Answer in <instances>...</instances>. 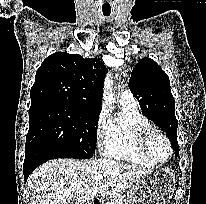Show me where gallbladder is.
<instances>
[{
	"label": "gallbladder",
	"instance_id": "obj_1",
	"mask_svg": "<svg viewBox=\"0 0 206 204\" xmlns=\"http://www.w3.org/2000/svg\"><path fill=\"white\" fill-rule=\"evenodd\" d=\"M73 202H74L73 200H68L66 204H74ZM75 204H77V203H75Z\"/></svg>",
	"mask_w": 206,
	"mask_h": 204
}]
</instances>
